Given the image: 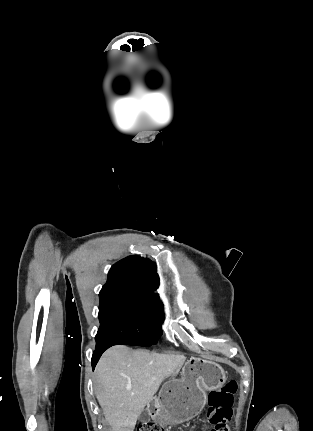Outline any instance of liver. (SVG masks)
I'll use <instances>...</instances> for the list:
<instances>
[{"label": "liver", "instance_id": "liver-1", "mask_svg": "<svg viewBox=\"0 0 313 431\" xmlns=\"http://www.w3.org/2000/svg\"><path fill=\"white\" fill-rule=\"evenodd\" d=\"M186 357L113 346L95 369V393L113 431H133L161 383L177 374ZM131 386V390L127 387Z\"/></svg>", "mask_w": 313, "mask_h": 431}]
</instances>
